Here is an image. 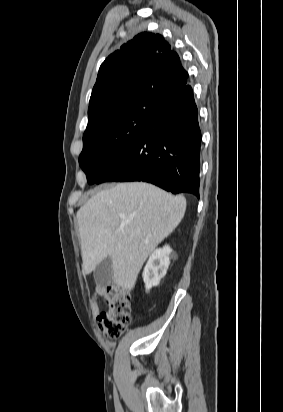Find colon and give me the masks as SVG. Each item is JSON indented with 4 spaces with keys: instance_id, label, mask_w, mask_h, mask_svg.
Wrapping results in <instances>:
<instances>
[{
    "instance_id": "5ec220e1",
    "label": "colon",
    "mask_w": 283,
    "mask_h": 412,
    "mask_svg": "<svg viewBox=\"0 0 283 412\" xmlns=\"http://www.w3.org/2000/svg\"><path fill=\"white\" fill-rule=\"evenodd\" d=\"M107 309L97 319L98 329L110 339H118L125 332L130 322L128 297L119 286L112 285L107 289Z\"/></svg>"
}]
</instances>
